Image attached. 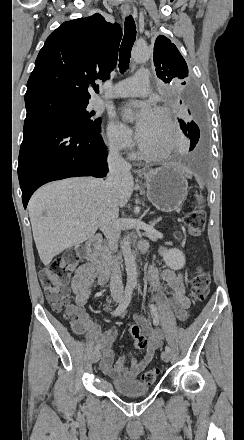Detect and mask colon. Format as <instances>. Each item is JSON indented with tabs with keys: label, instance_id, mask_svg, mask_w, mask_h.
<instances>
[{
	"label": "colon",
	"instance_id": "obj_1",
	"mask_svg": "<svg viewBox=\"0 0 244 440\" xmlns=\"http://www.w3.org/2000/svg\"><path fill=\"white\" fill-rule=\"evenodd\" d=\"M185 223L188 227L189 233L194 236L200 235L205 228L206 212L202 197L199 192H195L189 199L184 208ZM174 228H179V223H174ZM65 258L60 261H53L47 270L41 272L40 281L42 288L46 294L49 303L55 311L62 310L65 307V313L70 321L73 323V328L76 332L86 326V312L82 310L81 305H69L70 289L68 287L70 281V273L75 270L77 262L80 257H83V248H65ZM211 277L202 269L195 271L192 279L191 296L195 302H203L208 296L209 285ZM129 334L134 337V347L137 350H146L148 346L147 338L141 334L138 324H133L130 328ZM159 375L158 367H150L143 371L141 378L147 384H152L156 381Z\"/></svg>",
	"mask_w": 244,
	"mask_h": 440
}]
</instances>
